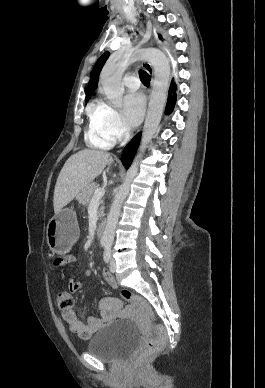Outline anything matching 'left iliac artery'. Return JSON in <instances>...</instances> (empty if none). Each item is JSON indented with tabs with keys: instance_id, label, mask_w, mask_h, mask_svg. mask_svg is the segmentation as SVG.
I'll use <instances>...</instances> for the list:
<instances>
[{
	"instance_id": "obj_1",
	"label": "left iliac artery",
	"mask_w": 265,
	"mask_h": 388,
	"mask_svg": "<svg viewBox=\"0 0 265 388\" xmlns=\"http://www.w3.org/2000/svg\"><path fill=\"white\" fill-rule=\"evenodd\" d=\"M111 249L110 246H105L104 261L107 263L110 260Z\"/></svg>"
}]
</instances>
